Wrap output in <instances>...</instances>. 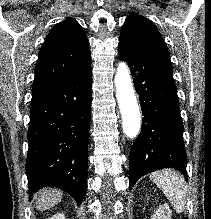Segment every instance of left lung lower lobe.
Segmentation results:
<instances>
[{
	"mask_svg": "<svg viewBox=\"0 0 211 219\" xmlns=\"http://www.w3.org/2000/svg\"><path fill=\"white\" fill-rule=\"evenodd\" d=\"M118 53L130 67L144 115L130 151L129 188L141 176L165 167L187 177L183 123L169 55L140 52L120 43Z\"/></svg>",
	"mask_w": 211,
	"mask_h": 219,
	"instance_id": "obj_1",
	"label": "left lung lower lobe"
}]
</instances>
